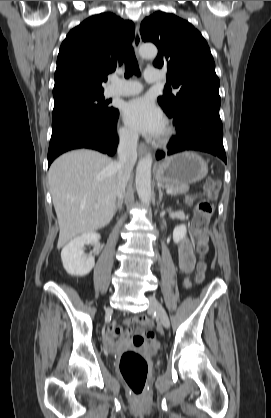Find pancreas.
Here are the masks:
<instances>
[{"label":"pancreas","instance_id":"1","mask_svg":"<svg viewBox=\"0 0 271 418\" xmlns=\"http://www.w3.org/2000/svg\"><path fill=\"white\" fill-rule=\"evenodd\" d=\"M165 188L172 189L171 195L185 194L189 191V186L187 184H166Z\"/></svg>","mask_w":271,"mask_h":418}]
</instances>
